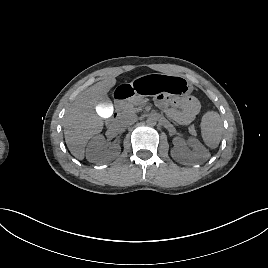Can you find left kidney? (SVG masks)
Here are the masks:
<instances>
[{
    "label": "left kidney",
    "mask_w": 268,
    "mask_h": 268,
    "mask_svg": "<svg viewBox=\"0 0 268 268\" xmlns=\"http://www.w3.org/2000/svg\"><path fill=\"white\" fill-rule=\"evenodd\" d=\"M171 156L176 161L195 164L204 162L210 154L197 139L189 138L187 142L175 140V145L171 149Z\"/></svg>",
    "instance_id": "5707ae66"
}]
</instances>
